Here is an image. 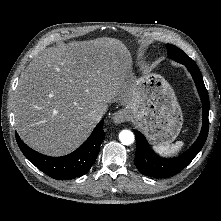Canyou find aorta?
Here are the masks:
<instances>
[{
    "mask_svg": "<svg viewBox=\"0 0 221 221\" xmlns=\"http://www.w3.org/2000/svg\"><path fill=\"white\" fill-rule=\"evenodd\" d=\"M119 139H120L122 144L130 145L134 142L135 137H134L133 132H131L130 130H122L119 133Z\"/></svg>",
    "mask_w": 221,
    "mask_h": 221,
    "instance_id": "obj_1",
    "label": "aorta"
}]
</instances>
